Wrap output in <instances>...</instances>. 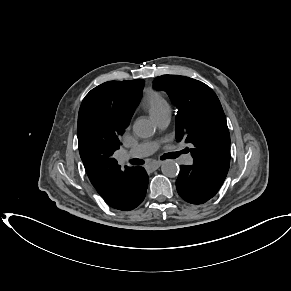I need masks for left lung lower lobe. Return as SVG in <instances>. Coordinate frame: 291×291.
Masks as SVG:
<instances>
[{
	"label": "left lung lower lobe",
	"mask_w": 291,
	"mask_h": 291,
	"mask_svg": "<svg viewBox=\"0 0 291 291\" xmlns=\"http://www.w3.org/2000/svg\"><path fill=\"white\" fill-rule=\"evenodd\" d=\"M224 180L197 164L181 165L176 189L186 202L203 204L216 195Z\"/></svg>",
	"instance_id": "obj_1"
}]
</instances>
